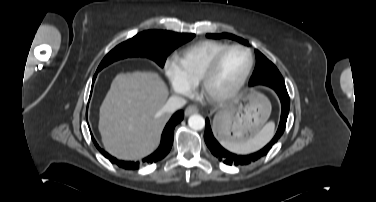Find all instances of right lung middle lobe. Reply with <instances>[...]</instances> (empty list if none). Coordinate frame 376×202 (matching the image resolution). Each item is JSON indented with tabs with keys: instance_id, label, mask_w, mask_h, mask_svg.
<instances>
[{
	"instance_id": "1",
	"label": "right lung middle lobe",
	"mask_w": 376,
	"mask_h": 202,
	"mask_svg": "<svg viewBox=\"0 0 376 202\" xmlns=\"http://www.w3.org/2000/svg\"><path fill=\"white\" fill-rule=\"evenodd\" d=\"M194 36V34L162 30H148L139 33L111 50L100 63L95 76L105 66L128 56L148 57L163 67L167 56Z\"/></svg>"
}]
</instances>
